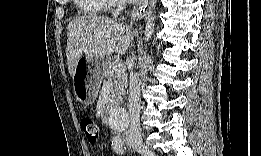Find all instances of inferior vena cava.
<instances>
[{
    "label": "inferior vena cava",
    "mask_w": 261,
    "mask_h": 156,
    "mask_svg": "<svg viewBox=\"0 0 261 156\" xmlns=\"http://www.w3.org/2000/svg\"><path fill=\"white\" fill-rule=\"evenodd\" d=\"M125 5L119 4L113 11L114 18L124 10ZM133 62V58H130ZM140 81L138 76L131 71L129 78V116L130 125L126 132V141L129 145H142L141 127H140Z\"/></svg>",
    "instance_id": "obj_1"
}]
</instances>
